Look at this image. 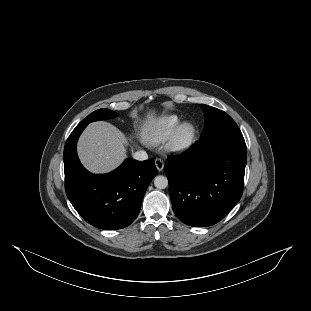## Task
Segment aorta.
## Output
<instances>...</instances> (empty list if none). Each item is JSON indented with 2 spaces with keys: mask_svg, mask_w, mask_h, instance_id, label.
Instances as JSON below:
<instances>
[{
  "mask_svg": "<svg viewBox=\"0 0 311 311\" xmlns=\"http://www.w3.org/2000/svg\"><path fill=\"white\" fill-rule=\"evenodd\" d=\"M168 184H169V182H168V178L166 176L159 175V176H156L154 178V186L157 189H165V188H167Z\"/></svg>",
  "mask_w": 311,
  "mask_h": 311,
  "instance_id": "aorta-1",
  "label": "aorta"
}]
</instances>
